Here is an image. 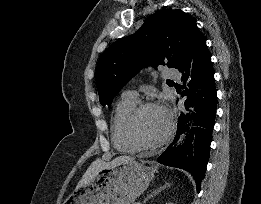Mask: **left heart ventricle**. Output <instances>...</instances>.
Listing matches in <instances>:
<instances>
[{"instance_id":"obj_1","label":"left heart ventricle","mask_w":261,"mask_h":204,"mask_svg":"<svg viewBox=\"0 0 261 204\" xmlns=\"http://www.w3.org/2000/svg\"><path fill=\"white\" fill-rule=\"evenodd\" d=\"M168 120L165 113L158 108L145 110L138 118L136 131L146 143H154L161 139L167 131Z\"/></svg>"}]
</instances>
